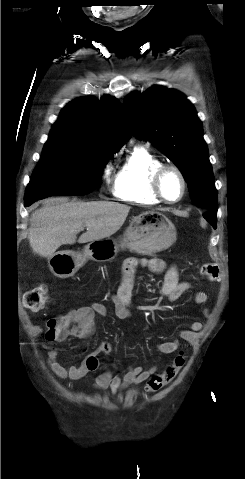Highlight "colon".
I'll list each match as a JSON object with an SVG mask.
<instances>
[{"label": "colon", "instance_id": "1", "mask_svg": "<svg viewBox=\"0 0 245 479\" xmlns=\"http://www.w3.org/2000/svg\"><path fill=\"white\" fill-rule=\"evenodd\" d=\"M202 273L210 280H216L218 276V267L214 263H204ZM49 295L44 286L35 287L24 295V305L27 310L36 312L43 308ZM70 324L64 318H55L51 320V326L48 327L47 339L63 340L68 337ZM185 364V358L182 354L177 355L160 374L151 376L145 385L148 393H157L170 384L177 376Z\"/></svg>", "mask_w": 245, "mask_h": 479}]
</instances>
